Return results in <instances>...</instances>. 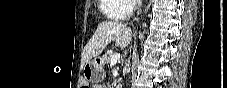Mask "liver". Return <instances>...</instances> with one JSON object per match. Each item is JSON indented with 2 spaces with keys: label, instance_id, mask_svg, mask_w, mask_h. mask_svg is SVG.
<instances>
[{
  "label": "liver",
  "instance_id": "obj_1",
  "mask_svg": "<svg viewBox=\"0 0 227 88\" xmlns=\"http://www.w3.org/2000/svg\"><path fill=\"white\" fill-rule=\"evenodd\" d=\"M132 38V31L117 21H104L98 24L92 38L85 46L82 54V64L85 65L94 56L99 55L106 45L115 41V45L125 48Z\"/></svg>",
  "mask_w": 227,
  "mask_h": 88
}]
</instances>
